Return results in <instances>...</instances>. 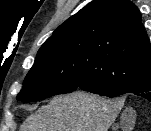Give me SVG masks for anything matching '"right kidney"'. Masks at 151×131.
I'll return each mask as SVG.
<instances>
[{"label":"right kidney","instance_id":"right-kidney-1","mask_svg":"<svg viewBox=\"0 0 151 131\" xmlns=\"http://www.w3.org/2000/svg\"><path fill=\"white\" fill-rule=\"evenodd\" d=\"M129 118L128 116H125V119ZM132 127H129V129H125V131H131Z\"/></svg>","mask_w":151,"mask_h":131}]
</instances>
